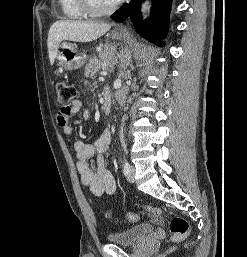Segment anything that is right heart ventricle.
I'll return each instance as SVG.
<instances>
[{
  "label": "right heart ventricle",
  "mask_w": 247,
  "mask_h": 257,
  "mask_svg": "<svg viewBox=\"0 0 247 257\" xmlns=\"http://www.w3.org/2000/svg\"><path fill=\"white\" fill-rule=\"evenodd\" d=\"M58 3L65 18L76 20L86 17L79 6L78 0H58Z\"/></svg>",
  "instance_id": "obj_1"
}]
</instances>
